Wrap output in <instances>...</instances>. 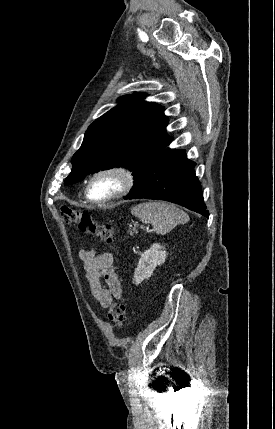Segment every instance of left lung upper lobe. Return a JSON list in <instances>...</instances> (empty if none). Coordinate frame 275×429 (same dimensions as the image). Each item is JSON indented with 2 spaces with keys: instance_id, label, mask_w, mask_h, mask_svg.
Masks as SVG:
<instances>
[{
  "instance_id": "left-lung-upper-lobe-1",
  "label": "left lung upper lobe",
  "mask_w": 275,
  "mask_h": 429,
  "mask_svg": "<svg viewBox=\"0 0 275 429\" xmlns=\"http://www.w3.org/2000/svg\"><path fill=\"white\" fill-rule=\"evenodd\" d=\"M135 93L118 99L119 105L95 120L72 158L65 185L79 182L89 173L125 166L136 181L150 161L173 139L162 106Z\"/></svg>"
}]
</instances>
